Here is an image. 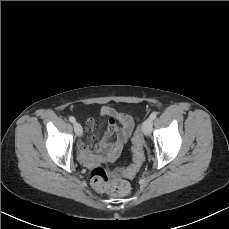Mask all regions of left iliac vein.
<instances>
[{
    "instance_id": "left-iliac-vein-1",
    "label": "left iliac vein",
    "mask_w": 229,
    "mask_h": 229,
    "mask_svg": "<svg viewBox=\"0 0 229 229\" xmlns=\"http://www.w3.org/2000/svg\"><path fill=\"white\" fill-rule=\"evenodd\" d=\"M152 123H153V120L151 118H147L143 122V124H142V131H143V133H144L145 136H149L151 134Z\"/></svg>"
}]
</instances>
